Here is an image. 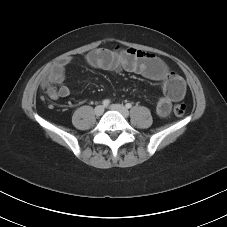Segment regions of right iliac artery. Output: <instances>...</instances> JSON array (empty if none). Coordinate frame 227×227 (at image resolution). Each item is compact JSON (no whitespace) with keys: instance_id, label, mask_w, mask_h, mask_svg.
<instances>
[{"instance_id":"1","label":"right iliac artery","mask_w":227,"mask_h":227,"mask_svg":"<svg viewBox=\"0 0 227 227\" xmlns=\"http://www.w3.org/2000/svg\"><path fill=\"white\" fill-rule=\"evenodd\" d=\"M103 106H108L110 104V101L108 99L103 100L102 102Z\"/></svg>"}]
</instances>
